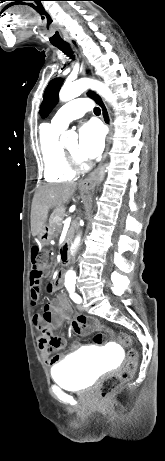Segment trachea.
Returning a JSON list of instances; mask_svg holds the SVG:
<instances>
[{
    "mask_svg": "<svg viewBox=\"0 0 165 461\" xmlns=\"http://www.w3.org/2000/svg\"><path fill=\"white\" fill-rule=\"evenodd\" d=\"M53 45L57 47L58 49H60L65 54H67L68 56H72V51L67 43H60V44H53ZM89 96L92 97L98 104H101L102 101L98 95L91 92ZM94 113L100 114V108L96 107L94 109Z\"/></svg>",
    "mask_w": 165,
    "mask_h": 461,
    "instance_id": "3493384b",
    "label": "trachea"
}]
</instances>
